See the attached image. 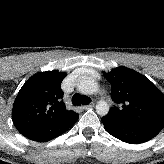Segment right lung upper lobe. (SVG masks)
Instances as JSON below:
<instances>
[{
    "instance_id": "1",
    "label": "right lung upper lobe",
    "mask_w": 164,
    "mask_h": 164,
    "mask_svg": "<svg viewBox=\"0 0 164 164\" xmlns=\"http://www.w3.org/2000/svg\"><path fill=\"white\" fill-rule=\"evenodd\" d=\"M66 73L57 70L40 72L20 89L12 110L17 130L26 135L72 115L62 100L61 82Z\"/></svg>"
}]
</instances>
